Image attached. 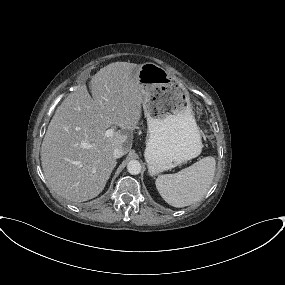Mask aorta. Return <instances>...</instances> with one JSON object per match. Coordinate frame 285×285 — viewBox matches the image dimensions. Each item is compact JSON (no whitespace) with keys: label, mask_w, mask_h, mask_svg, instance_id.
Returning <instances> with one entry per match:
<instances>
[{"label":"aorta","mask_w":285,"mask_h":285,"mask_svg":"<svg viewBox=\"0 0 285 285\" xmlns=\"http://www.w3.org/2000/svg\"><path fill=\"white\" fill-rule=\"evenodd\" d=\"M141 164L138 160H131L127 164V170L132 175H137L141 172Z\"/></svg>","instance_id":"1"}]
</instances>
